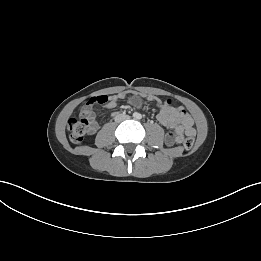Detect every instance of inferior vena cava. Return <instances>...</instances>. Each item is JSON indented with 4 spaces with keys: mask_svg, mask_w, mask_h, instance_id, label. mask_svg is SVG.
<instances>
[{
    "mask_svg": "<svg viewBox=\"0 0 261 261\" xmlns=\"http://www.w3.org/2000/svg\"><path fill=\"white\" fill-rule=\"evenodd\" d=\"M127 118H128L127 115L121 114V115H119V116H116L115 121L121 122V121H123V120H125V119H127Z\"/></svg>",
    "mask_w": 261,
    "mask_h": 261,
    "instance_id": "obj_1",
    "label": "inferior vena cava"
}]
</instances>
